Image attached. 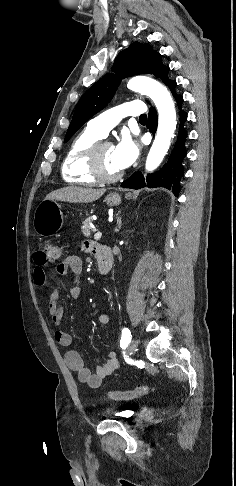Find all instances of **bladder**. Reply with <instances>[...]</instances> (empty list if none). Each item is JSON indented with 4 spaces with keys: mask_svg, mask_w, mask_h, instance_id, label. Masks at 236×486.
Listing matches in <instances>:
<instances>
[{
    "mask_svg": "<svg viewBox=\"0 0 236 486\" xmlns=\"http://www.w3.org/2000/svg\"><path fill=\"white\" fill-rule=\"evenodd\" d=\"M116 417L121 419V420H128L132 417V413L130 411H122V412L116 414Z\"/></svg>",
    "mask_w": 236,
    "mask_h": 486,
    "instance_id": "1",
    "label": "bladder"
}]
</instances>
